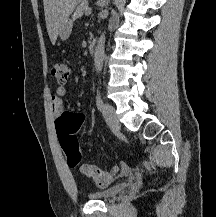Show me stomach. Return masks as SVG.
<instances>
[{"instance_id":"0dacf381","label":"stomach","mask_w":216,"mask_h":217,"mask_svg":"<svg viewBox=\"0 0 216 217\" xmlns=\"http://www.w3.org/2000/svg\"><path fill=\"white\" fill-rule=\"evenodd\" d=\"M72 27H73V23L70 19H68L63 26L61 27L60 31H59V36L62 40H66L68 39V37L71 34L72 31Z\"/></svg>"}]
</instances>
